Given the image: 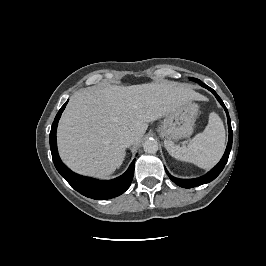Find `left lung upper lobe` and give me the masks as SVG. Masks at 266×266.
I'll use <instances>...</instances> for the list:
<instances>
[{
  "mask_svg": "<svg viewBox=\"0 0 266 266\" xmlns=\"http://www.w3.org/2000/svg\"><path fill=\"white\" fill-rule=\"evenodd\" d=\"M191 80H193V81H196L197 79H195V78H190Z\"/></svg>",
  "mask_w": 266,
  "mask_h": 266,
  "instance_id": "left-lung-upper-lobe-1",
  "label": "left lung upper lobe"
}]
</instances>
